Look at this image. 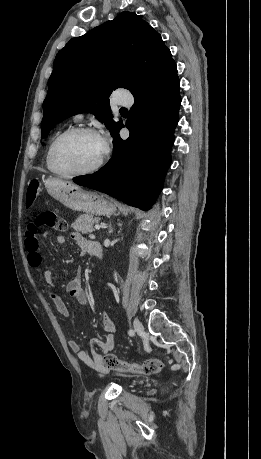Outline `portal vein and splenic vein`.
Wrapping results in <instances>:
<instances>
[{
    "instance_id": "1",
    "label": "portal vein and splenic vein",
    "mask_w": 261,
    "mask_h": 459,
    "mask_svg": "<svg viewBox=\"0 0 261 459\" xmlns=\"http://www.w3.org/2000/svg\"><path fill=\"white\" fill-rule=\"evenodd\" d=\"M100 227H101V226H100L99 224H96V225L94 226V228H95L96 230H99Z\"/></svg>"
}]
</instances>
